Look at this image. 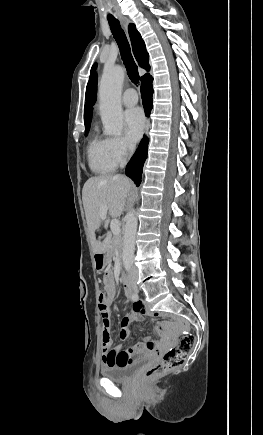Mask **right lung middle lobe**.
I'll return each mask as SVG.
<instances>
[{"label": "right lung middle lobe", "mask_w": 263, "mask_h": 435, "mask_svg": "<svg viewBox=\"0 0 263 435\" xmlns=\"http://www.w3.org/2000/svg\"><path fill=\"white\" fill-rule=\"evenodd\" d=\"M88 131H85V136H87Z\"/></svg>", "instance_id": "1"}]
</instances>
